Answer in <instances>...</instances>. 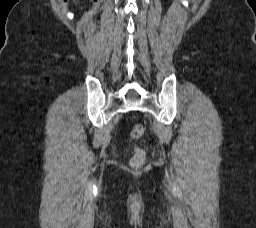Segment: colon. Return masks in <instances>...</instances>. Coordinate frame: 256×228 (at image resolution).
<instances>
[{
    "label": "colon",
    "instance_id": "colon-1",
    "mask_svg": "<svg viewBox=\"0 0 256 228\" xmlns=\"http://www.w3.org/2000/svg\"><path fill=\"white\" fill-rule=\"evenodd\" d=\"M144 134V127L142 124H136L133 126L129 133L131 140H137L141 138ZM146 160V151L140 146L134 147V155L130 159V165L133 168L141 167Z\"/></svg>",
    "mask_w": 256,
    "mask_h": 228
}]
</instances>
